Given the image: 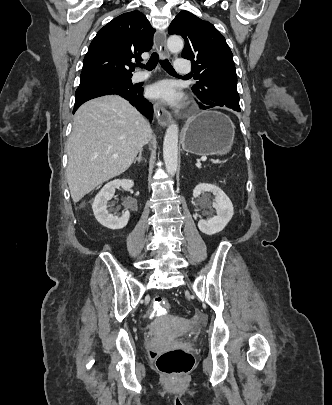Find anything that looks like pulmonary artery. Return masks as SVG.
<instances>
[{"mask_svg":"<svg viewBox=\"0 0 332 405\" xmlns=\"http://www.w3.org/2000/svg\"><path fill=\"white\" fill-rule=\"evenodd\" d=\"M175 69L179 74H182V75H186V74L190 73V71H191L190 65L187 62V60H185V59H178L175 62ZM149 76H150L149 73L138 72L133 76L132 80L134 82H140V81L147 79Z\"/></svg>","mask_w":332,"mask_h":405,"instance_id":"e3ab8cb5","label":"pulmonary artery"}]
</instances>
